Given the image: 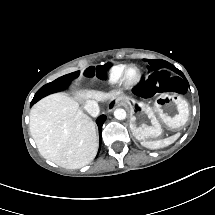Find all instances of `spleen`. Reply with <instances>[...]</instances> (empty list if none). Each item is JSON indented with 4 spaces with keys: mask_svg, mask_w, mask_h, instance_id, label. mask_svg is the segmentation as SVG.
I'll use <instances>...</instances> for the list:
<instances>
[{
    "mask_svg": "<svg viewBox=\"0 0 215 215\" xmlns=\"http://www.w3.org/2000/svg\"><path fill=\"white\" fill-rule=\"evenodd\" d=\"M180 136V133H176L173 136H170L168 138H165L163 140H157V141H143L141 144L149 149H159L164 148L166 146H169L170 144L174 143Z\"/></svg>",
    "mask_w": 215,
    "mask_h": 215,
    "instance_id": "1",
    "label": "spleen"
}]
</instances>
